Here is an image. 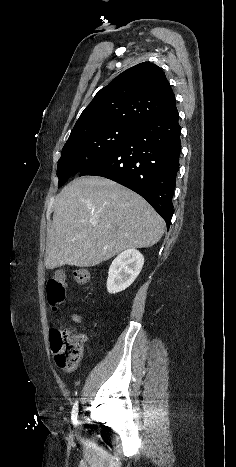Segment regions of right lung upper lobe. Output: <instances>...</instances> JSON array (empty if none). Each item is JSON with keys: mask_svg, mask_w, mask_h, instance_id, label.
<instances>
[{"mask_svg": "<svg viewBox=\"0 0 236 467\" xmlns=\"http://www.w3.org/2000/svg\"><path fill=\"white\" fill-rule=\"evenodd\" d=\"M175 108V95L162 69L144 62L102 88L81 113L71 134L110 125L138 129Z\"/></svg>", "mask_w": 236, "mask_h": 467, "instance_id": "cb5924a9", "label": "right lung upper lobe"}]
</instances>
